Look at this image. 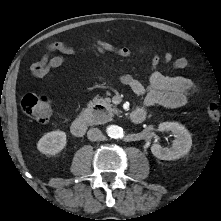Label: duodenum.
<instances>
[{
	"instance_id": "1",
	"label": "duodenum",
	"mask_w": 221,
	"mask_h": 221,
	"mask_svg": "<svg viewBox=\"0 0 221 221\" xmlns=\"http://www.w3.org/2000/svg\"><path fill=\"white\" fill-rule=\"evenodd\" d=\"M146 112L142 109H136L130 112L129 120L134 124L142 123L145 120ZM73 135L82 137L87 131V123L83 117L75 119L71 125Z\"/></svg>"
}]
</instances>
